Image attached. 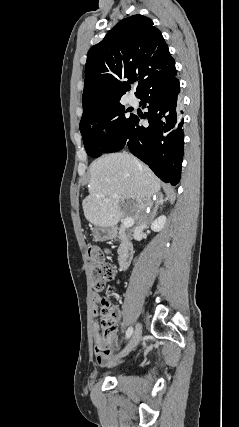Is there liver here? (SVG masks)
Wrapping results in <instances>:
<instances>
[{
    "label": "liver",
    "mask_w": 239,
    "mask_h": 427,
    "mask_svg": "<svg viewBox=\"0 0 239 427\" xmlns=\"http://www.w3.org/2000/svg\"><path fill=\"white\" fill-rule=\"evenodd\" d=\"M89 173V195L82 206L86 219L99 227L113 228L124 216L139 219L161 188L151 169L125 152L101 156L91 163ZM125 199L136 201L131 213L121 208Z\"/></svg>",
    "instance_id": "obj_1"
}]
</instances>
